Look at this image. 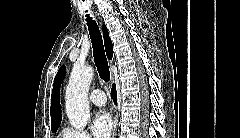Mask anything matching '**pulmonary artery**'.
<instances>
[{
  "mask_svg": "<svg viewBox=\"0 0 240 138\" xmlns=\"http://www.w3.org/2000/svg\"><path fill=\"white\" fill-rule=\"evenodd\" d=\"M90 100L96 106H104L106 104L105 94L100 89H95L91 92Z\"/></svg>",
  "mask_w": 240,
  "mask_h": 138,
  "instance_id": "1",
  "label": "pulmonary artery"
}]
</instances>
